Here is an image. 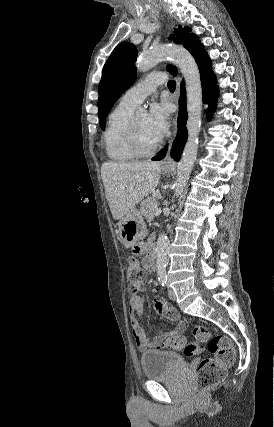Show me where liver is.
Instances as JSON below:
<instances>
[{
  "instance_id": "obj_1",
  "label": "liver",
  "mask_w": 274,
  "mask_h": 427,
  "mask_svg": "<svg viewBox=\"0 0 274 427\" xmlns=\"http://www.w3.org/2000/svg\"><path fill=\"white\" fill-rule=\"evenodd\" d=\"M101 178L114 219H122L136 204L155 192L160 180L159 162H105Z\"/></svg>"
}]
</instances>
